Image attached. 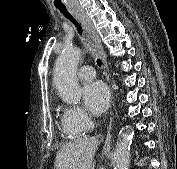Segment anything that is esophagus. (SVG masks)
<instances>
[{
	"mask_svg": "<svg viewBox=\"0 0 177 169\" xmlns=\"http://www.w3.org/2000/svg\"><path fill=\"white\" fill-rule=\"evenodd\" d=\"M69 12L77 18L81 24L83 25L84 29L89 34L90 38L92 39L93 44L95 45L98 56L101 59L102 66L104 69L108 67L107 58L103 50V46L101 43V39L92 23L88 15L85 13L83 8L79 5H72L68 7ZM107 75V72L105 73Z\"/></svg>",
	"mask_w": 177,
	"mask_h": 169,
	"instance_id": "1",
	"label": "esophagus"
}]
</instances>
